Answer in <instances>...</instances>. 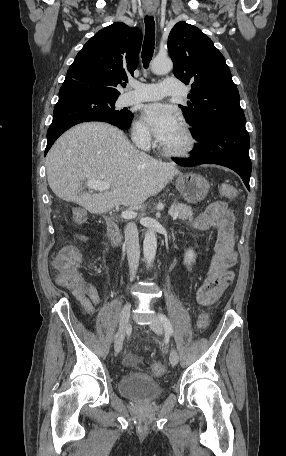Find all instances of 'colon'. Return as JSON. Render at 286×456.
I'll return each instance as SVG.
<instances>
[{
	"label": "colon",
	"mask_w": 286,
	"mask_h": 456,
	"mask_svg": "<svg viewBox=\"0 0 286 456\" xmlns=\"http://www.w3.org/2000/svg\"><path fill=\"white\" fill-rule=\"evenodd\" d=\"M220 193L225 197H235L236 188L232 185L223 184L220 186ZM77 221H83V215L77 214ZM81 254L79 250L72 246L63 247L54 259V267L57 270L56 280L62 287L72 291H80L86 286L85 278L79 270ZM209 324V314L202 313L196 322L199 329H205ZM128 366L137 364V359L133 356H127L124 360ZM152 372L155 376H162L165 373V367L161 362H155L152 365Z\"/></svg>",
	"instance_id": "1"
}]
</instances>
